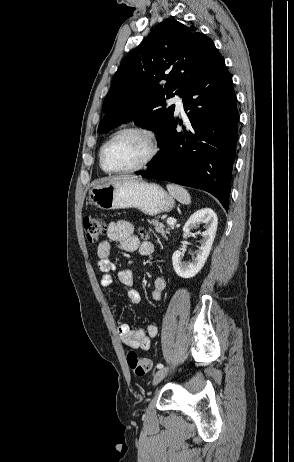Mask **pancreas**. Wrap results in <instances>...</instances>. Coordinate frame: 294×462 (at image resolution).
<instances>
[{
    "mask_svg": "<svg viewBox=\"0 0 294 462\" xmlns=\"http://www.w3.org/2000/svg\"><path fill=\"white\" fill-rule=\"evenodd\" d=\"M149 223L154 226L155 230L160 233L162 237H166V235L170 233V229H165V225L158 222L157 219H152Z\"/></svg>",
    "mask_w": 294,
    "mask_h": 462,
    "instance_id": "pancreas-1",
    "label": "pancreas"
}]
</instances>
